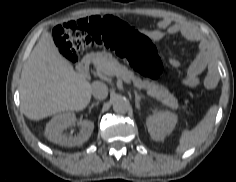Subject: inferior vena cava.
Segmentation results:
<instances>
[{
  "label": "inferior vena cava",
  "instance_id": "obj_1",
  "mask_svg": "<svg viewBox=\"0 0 236 182\" xmlns=\"http://www.w3.org/2000/svg\"><path fill=\"white\" fill-rule=\"evenodd\" d=\"M92 95L99 100H103L108 96V87L100 81H95L91 86Z\"/></svg>",
  "mask_w": 236,
  "mask_h": 182
}]
</instances>
